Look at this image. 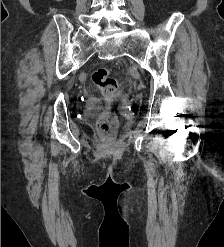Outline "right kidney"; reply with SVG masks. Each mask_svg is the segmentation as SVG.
<instances>
[{
    "label": "right kidney",
    "mask_w": 224,
    "mask_h": 247,
    "mask_svg": "<svg viewBox=\"0 0 224 247\" xmlns=\"http://www.w3.org/2000/svg\"><path fill=\"white\" fill-rule=\"evenodd\" d=\"M55 2H62V0H55Z\"/></svg>",
    "instance_id": "right-kidney-1"
}]
</instances>
